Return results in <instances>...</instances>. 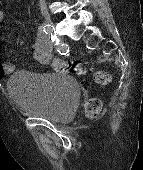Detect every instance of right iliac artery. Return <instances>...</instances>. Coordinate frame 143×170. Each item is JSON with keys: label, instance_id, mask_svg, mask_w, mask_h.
I'll list each match as a JSON object with an SVG mask.
<instances>
[{"label": "right iliac artery", "instance_id": "obj_1", "mask_svg": "<svg viewBox=\"0 0 143 170\" xmlns=\"http://www.w3.org/2000/svg\"><path fill=\"white\" fill-rule=\"evenodd\" d=\"M40 30L45 34H52V26L51 25H43L41 26Z\"/></svg>", "mask_w": 143, "mask_h": 170}]
</instances>
